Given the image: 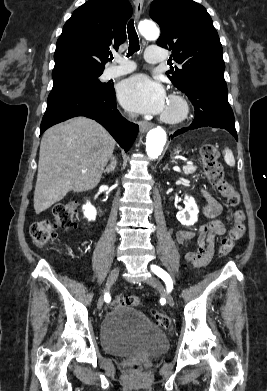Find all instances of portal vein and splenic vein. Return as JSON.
Returning a JSON list of instances; mask_svg holds the SVG:
<instances>
[{
	"label": "portal vein and splenic vein",
	"instance_id": "obj_1",
	"mask_svg": "<svg viewBox=\"0 0 267 391\" xmlns=\"http://www.w3.org/2000/svg\"><path fill=\"white\" fill-rule=\"evenodd\" d=\"M187 164H192L191 162H187ZM86 170H82V173H85Z\"/></svg>",
	"mask_w": 267,
	"mask_h": 391
}]
</instances>
